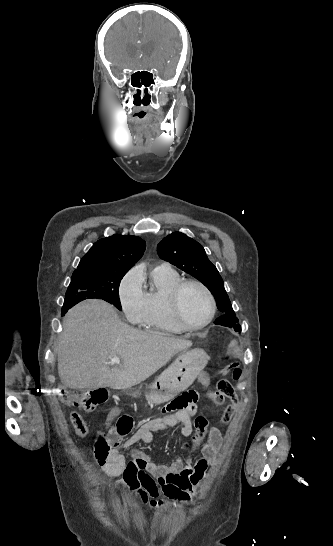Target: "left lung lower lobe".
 Listing matches in <instances>:
<instances>
[{"label": "left lung lower lobe", "instance_id": "0a47b994", "mask_svg": "<svg viewBox=\"0 0 333 546\" xmlns=\"http://www.w3.org/2000/svg\"><path fill=\"white\" fill-rule=\"evenodd\" d=\"M238 319L232 318L230 316L222 315L221 317L217 318L214 322L217 325H222L226 327H233L235 331L240 332L241 326L237 324Z\"/></svg>", "mask_w": 333, "mask_h": 546}]
</instances>
